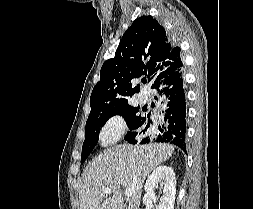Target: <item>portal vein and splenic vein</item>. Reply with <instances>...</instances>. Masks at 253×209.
<instances>
[{"label": "portal vein and splenic vein", "instance_id": "18ae733b", "mask_svg": "<svg viewBox=\"0 0 253 209\" xmlns=\"http://www.w3.org/2000/svg\"><path fill=\"white\" fill-rule=\"evenodd\" d=\"M104 192L105 193H111V187H106L105 188V190H104ZM132 194H133V192H132V190L131 189H126L125 190V196L127 197V198H131L132 197Z\"/></svg>", "mask_w": 253, "mask_h": 209}]
</instances>
